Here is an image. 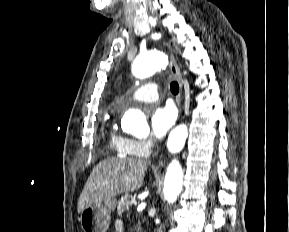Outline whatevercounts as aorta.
<instances>
[{"label": "aorta", "instance_id": "aorta-1", "mask_svg": "<svg viewBox=\"0 0 289 232\" xmlns=\"http://www.w3.org/2000/svg\"><path fill=\"white\" fill-rule=\"evenodd\" d=\"M167 66L166 55L157 50L140 54L133 62V74L135 77L143 79L152 76L157 71L164 70ZM122 129L135 136L148 134L149 126L145 115L137 109L128 110L121 122ZM188 137L186 125H179L172 130L168 137L167 147L170 153L180 152ZM183 185V171L177 160H173L166 172L163 193L168 203H174L181 193Z\"/></svg>", "mask_w": 289, "mask_h": 232}]
</instances>
